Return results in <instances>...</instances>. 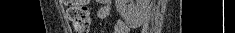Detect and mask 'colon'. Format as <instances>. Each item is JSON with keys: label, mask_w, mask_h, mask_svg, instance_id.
<instances>
[{"label": "colon", "mask_w": 235, "mask_h": 33, "mask_svg": "<svg viewBox=\"0 0 235 33\" xmlns=\"http://www.w3.org/2000/svg\"><path fill=\"white\" fill-rule=\"evenodd\" d=\"M67 17L77 33H88L91 16L85 0H68Z\"/></svg>", "instance_id": "obj_1"}]
</instances>
